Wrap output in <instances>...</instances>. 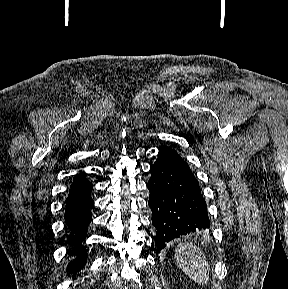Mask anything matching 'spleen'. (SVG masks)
I'll return each instance as SVG.
<instances>
[{
    "mask_svg": "<svg viewBox=\"0 0 288 289\" xmlns=\"http://www.w3.org/2000/svg\"><path fill=\"white\" fill-rule=\"evenodd\" d=\"M175 259L183 272L197 284L204 285L209 281L206 255L195 244H179L175 250Z\"/></svg>",
    "mask_w": 288,
    "mask_h": 289,
    "instance_id": "spleen-1",
    "label": "spleen"
}]
</instances>
